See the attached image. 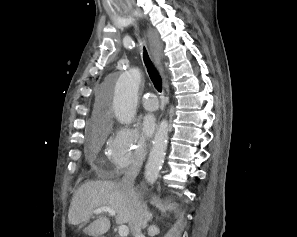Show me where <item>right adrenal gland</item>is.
Here are the masks:
<instances>
[{"instance_id":"obj_1","label":"right adrenal gland","mask_w":297,"mask_h":237,"mask_svg":"<svg viewBox=\"0 0 297 237\" xmlns=\"http://www.w3.org/2000/svg\"><path fill=\"white\" fill-rule=\"evenodd\" d=\"M152 218H153L152 213L148 212V210H147L146 215H145L144 220H143V223H142V229H145L147 227V223L149 221H151Z\"/></svg>"}]
</instances>
